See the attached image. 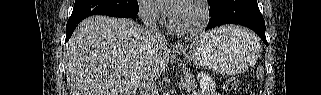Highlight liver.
<instances>
[{
	"mask_svg": "<svg viewBox=\"0 0 321 95\" xmlns=\"http://www.w3.org/2000/svg\"><path fill=\"white\" fill-rule=\"evenodd\" d=\"M64 53L69 95H133L144 74L157 79L170 59L164 40L136 22L99 15L76 27Z\"/></svg>",
	"mask_w": 321,
	"mask_h": 95,
	"instance_id": "obj_1",
	"label": "liver"
}]
</instances>
